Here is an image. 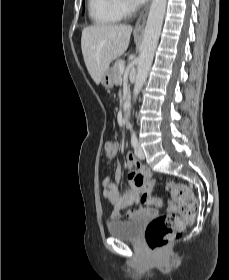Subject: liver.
Here are the masks:
<instances>
[{"label":"liver","mask_w":229,"mask_h":280,"mask_svg":"<svg viewBox=\"0 0 229 280\" xmlns=\"http://www.w3.org/2000/svg\"><path fill=\"white\" fill-rule=\"evenodd\" d=\"M130 25L98 24L83 29L81 48L87 70L98 85L110 63L128 48Z\"/></svg>","instance_id":"6515ba94"}]
</instances>
